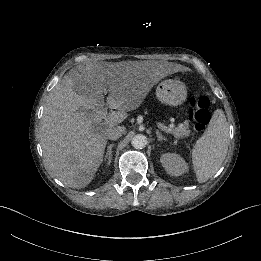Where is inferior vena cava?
I'll return each instance as SVG.
<instances>
[{"label": "inferior vena cava", "instance_id": "inferior-vena-cava-1", "mask_svg": "<svg viewBox=\"0 0 261 261\" xmlns=\"http://www.w3.org/2000/svg\"><path fill=\"white\" fill-rule=\"evenodd\" d=\"M126 131V128L124 126H117L113 127L108 132V139L110 140H117L119 139Z\"/></svg>", "mask_w": 261, "mask_h": 261}]
</instances>
